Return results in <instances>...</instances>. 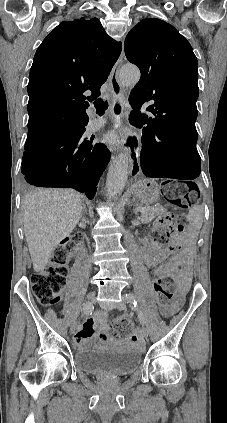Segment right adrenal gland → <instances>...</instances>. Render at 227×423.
<instances>
[{
    "instance_id": "1",
    "label": "right adrenal gland",
    "mask_w": 227,
    "mask_h": 423,
    "mask_svg": "<svg viewBox=\"0 0 227 423\" xmlns=\"http://www.w3.org/2000/svg\"><path fill=\"white\" fill-rule=\"evenodd\" d=\"M82 206H83V213H87L85 204H82Z\"/></svg>"
}]
</instances>
